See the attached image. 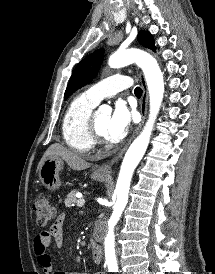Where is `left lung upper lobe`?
<instances>
[{
  "mask_svg": "<svg viewBox=\"0 0 215 274\" xmlns=\"http://www.w3.org/2000/svg\"><path fill=\"white\" fill-rule=\"evenodd\" d=\"M138 41L142 46L155 51L153 37L148 31H140ZM103 53V49H99L78 63L66 88L64 100L73 92L92 81L100 68Z\"/></svg>",
  "mask_w": 215,
  "mask_h": 274,
  "instance_id": "obj_1",
  "label": "left lung upper lobe"
}]
</instances>
